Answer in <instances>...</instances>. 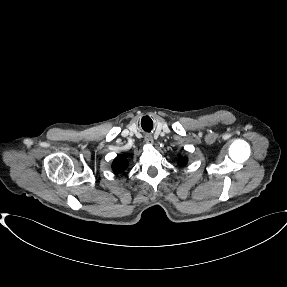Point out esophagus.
Here are the masks:
<instances>
[{"label":"esophagus","mask_w":287,"mask_h":287,"mask_svg":"<svg viewBox=\"0 0 287 287\" xmlns=\"http://www.w3.org/2000/svg\"><path fill=\"white\" fill-rule=\"evenodd\" d=\"M145 141H146V143H148V144H152V143H153V138H152L151 136L147 135V136L145 137Z\"/></svg>","instance_id":"esophagus-1"}]
</instances>
